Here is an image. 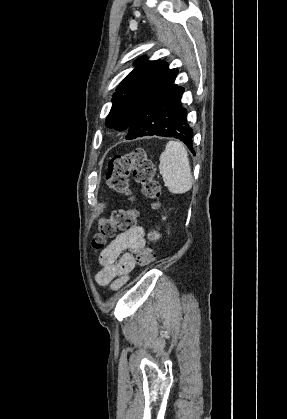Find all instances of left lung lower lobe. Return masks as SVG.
Wrapping results in <instances>:
<instances>
[{
  "instance_id": "left-lung-lower-lobe-1",
  "label": "left lung lower lobe",
  "mask_w": 287,
  "mask_h": 419,
  "mask_svg": "<svg viewBox=\"0 0 287 419\" xmlns=\"http://www.w3.org/2000/svg\"><path fill=\"white\" fill-rule=\"evenodd\" d=\"M184 88L171 85L142 104L133 115L127 140L143 136L174 137L183 141L194 153L193 130L189 127L187 111L181 104Z\"/></svg>"
}]
</instances>
